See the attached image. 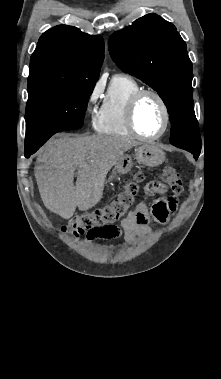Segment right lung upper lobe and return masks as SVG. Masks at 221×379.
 <instances>
[{
	"label": "right lung upper lobe",
	"instance_id": "obj_1",
	"mask_svg": "<svg viewBox=\"0 0 221 379\" xmlns=\"http://www.w3.org/2000/svg\"><path fill=\"white\" fill-rule=\"evenodd\" d=\"M104 59L100 35H88L76 27L59 25L46 31L31 56L28 94L97 82Z\"/></svg>",
	"mask_w": 221,
	"mask_h": 379
}]
</instances>
